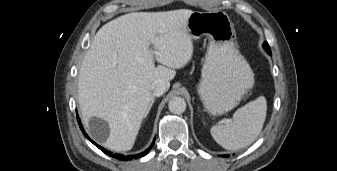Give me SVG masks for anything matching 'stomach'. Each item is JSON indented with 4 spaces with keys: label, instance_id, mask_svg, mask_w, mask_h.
<instances>
[{
    "label": "stomach",
    "instance_id": "1",
    "mask_svg": "<svg viewBox=\"0 0 337 171\" xmlns=\"http://www.w3.org/2000/svg\"><path fill=\"white\" fill-rule=\"evenodd\" d=\"M187 29L192 39H208L197 91L208 114L223 115L253 87L254 73L236 47L233 23L226 12H193Z\"/></svg>",
    "mask_w": 337,
    "mask_h": 171
}]
</instances>
